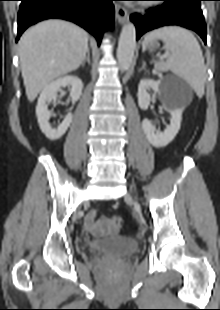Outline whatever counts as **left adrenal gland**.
I'll return each instance as SVG.
<instances>
[{"instance_id": "left-adrenal-gland-1", "label": "left adrenal gland", "mask_w": 220, "mask_h": 310, "mask_svg": "<svg viewBox=\"0 0 220 310\" xmlns=\"http://www.w3.org/2000/svg\"><path fill=\"white\" fill-rule=\"evenodd\" d=\"M142 70L146 71V63L145 62H143L142 68L139 71H142Z\"/></svg>"}]
</instances>
